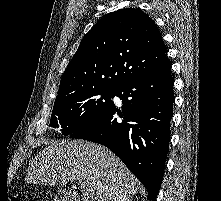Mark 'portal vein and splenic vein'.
I'll return each mask as SVG.
<instances>
[{"label": "portal vein and splenic vein", "mask_w": 221, "mask_h": 201, "mask_svg": "<svg viewBox=\"0 0 221 201\" xmlns=\"http://www.w3.org/2000/svg\"><path fill=\"white\" fill-rule=\"evenodd\" d=\"M78 185L82 187V184H81V182H78Z\"/></svg>", "instance_id": "1"}]
</instances>
